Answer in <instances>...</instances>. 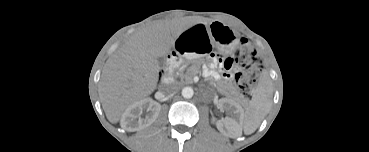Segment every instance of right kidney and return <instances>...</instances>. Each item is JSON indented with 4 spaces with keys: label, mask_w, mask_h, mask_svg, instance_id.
<instances>
[{
    "label": "right kidney",
    "mask_w": 369,
    "mask_h": 152,
    "mask_svg": "<svg viewBox=\"0 0 369 152\" xmlns=\"http://www.w3.org/2000/svg\"><path fill=\"white\" fill-rule=\"evenodd\" d=\"M161 105L151 98H144L129 106L122 115V121L130 131H138L150 126L158 117ZM143 110L148 114L141 117Z\"/></svg>",
    "instance_id": "ca27d5eb"
}]
</instances>
